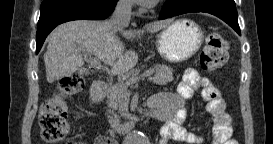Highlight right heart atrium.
Instances as JSON below:
<instances>
[{
  "label": "right heart atrium",
  "instance_id": "obj_1",
  "mask_svg": "<svg viewBox=\"0 0 273 144\" xmlns=\"http://www.w3.org/2000/svg\"><path fill=\"white\" fill-rule=\"evenodd\" d=\"M119 5L124 7V8H127V7L130 6V1L129 0H120Z\"/></svg>",
  "mask_w": 273,
  "mask_h": 144
}]
</instances>
